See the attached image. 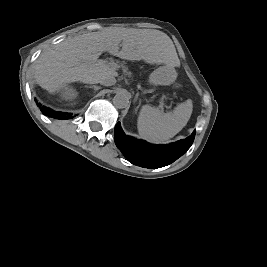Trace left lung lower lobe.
<instances>
[{"mask_svg": "<svg viewBox=\"0 0 267 267\" xmlns=\"http://www.w3.org/2000/svg\"><path fill=\"white\" fill-rule=\"evenodd\" d=\"M115 143L129 162L147 168H160L171 164L192 145L195 131L185 140L169 145H152L142 140L127 137L118 122L114 130Z\"/></svg>", "mask_w": 267, "mask_h": 267, "instance_id": "obj_1", "label": "left lung lower lobe"}]
</instances>
